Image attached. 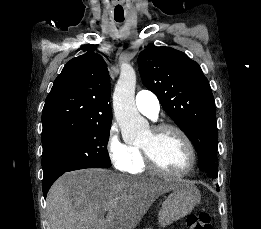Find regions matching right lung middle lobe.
Instances as JSON below:
<instances>
[{"label": "right lung middle lobe", "mask_w": 261, "mask_h": 229, "mask_svg": "<svg viewBox=\"0 0 261 229\" xmlns=\"http://www.w3.org/2000/svg\"><path fill=\"white\" fill-rule=\"evenodd\" d=\"M111 123L93 125L67 141L43 149V178L84 168H109L107 151Z\"/></svg>", "instance_id": "right-lung-middle-lobe-1"}]
</instances>
